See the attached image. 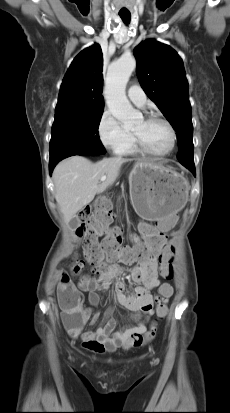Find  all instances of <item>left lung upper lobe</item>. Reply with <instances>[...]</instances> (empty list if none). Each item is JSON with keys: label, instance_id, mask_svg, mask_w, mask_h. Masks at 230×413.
I'll use <instances>...</instances> for the list:
<instances>
[{"label": "left lung upper lobe", "instance_id": "5c2ea615", "mask_svg": "<svg viewBox=\"0 0 230 413\" xmlns=\"http://www.w3.org/2000/svg\"><path fill=\"white\" fill-rule=\"evenodd\" d=\"M133 53L143 90L176 131L179 162L194 163L189 85L182 59L169 45L153 39L141 42Z\"/></svg>", "mask_w": 230, "mask_h": 413}]
</instances>
